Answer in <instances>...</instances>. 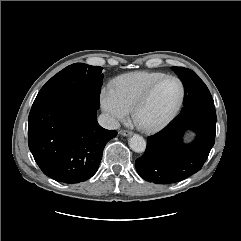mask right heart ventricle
<instances>
[{"label":"right heart ventricle","instance_id":"1","mask_svg":"<svg viewBox=\"0 0 241 241\" xmlns=\"http://www.w3.org/2000/svg\"><path fill=\"white\" fill-rule=\"evenodd\" d=\"M162 72L138 71L120 75L110 83V89L119 101L131 110L137 99L156 80L165 76Z\"/></svg>","mask_w":241,"mask_h":241}]
</instances>
